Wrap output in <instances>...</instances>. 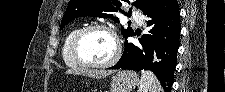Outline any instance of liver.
<instances>
[{"mask_svg": "<svg viewBox=\"0 0 225 92\" xmlns=\"http://www.w3.org/2000/svg\"><path fill=\"white\" fill-rule=\"evenodd\" d=\"M113 73V71L108 70H82V71H74V70H67L66 74H80L83 76H87L93 79H101V78H105L109 75H111Z\"/></svg>", "mask_w": 225, "mask_h": 92, "instance_id": "liver-1", "label": "liver"}]
</instances>
